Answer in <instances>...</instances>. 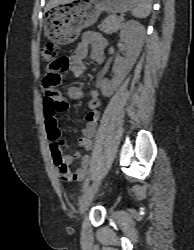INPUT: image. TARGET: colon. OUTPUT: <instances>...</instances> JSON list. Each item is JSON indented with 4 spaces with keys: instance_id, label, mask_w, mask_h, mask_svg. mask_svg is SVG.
Wrapping results in <instances>:
<instances>
[{
    "instance_id": "obj_1",
    "label": "colon",
    "mask_w": 194,
    "mask_h": 250,
    "mask_svg": "<svg viewBox=\"0 0 194 250\" xmlns=\"http://www.w3.org/2000/svg\"><path fill=\"white\" fill-rule=\"evenodd\" d=\"M58 49L59 46L56 43H46L41 47L40 55L41 59L44 63H47L55 72L50 73L46 78L45 81L48 83L51 87H56L60 85L61 83V76L58 71L61 66L65 63V60L63 58H58ZM59 105L55 102L52 96L47 95L44 99V109L46 112H53L56 108H58ZM55 141V158L54 163L57 167L58 175L63 180H69L70 179V171L67 168V166L63 163V160L61 158V146L63 145L61 142H57L58 139L53 137L52 138Z\"/></svg>"
}]
</instances>
